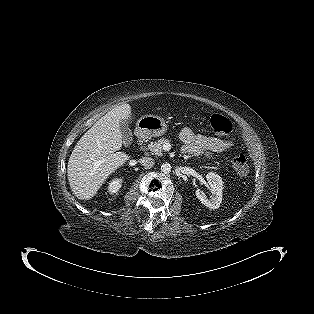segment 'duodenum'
<instances>
[{
	"mask_svg": "<svg viewBox=\"0 0 314 314\" xmlns=\"http://www.w3.org/2000/svg\"><path fill=\"white\" fill-rule=\"evenodd\" d=\"M144 140H145V135L142 134V133H139V134L137 135V141H138V143H142V142H144Z\"/></svg>",
	"mask_w": 314,
	"mask_h": 314,
	"instance_id": "1",
	"label": "duodenum"
}]
</instances>
